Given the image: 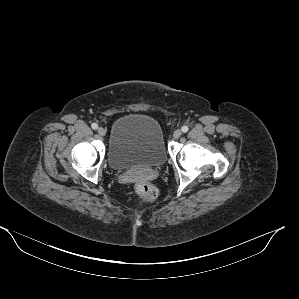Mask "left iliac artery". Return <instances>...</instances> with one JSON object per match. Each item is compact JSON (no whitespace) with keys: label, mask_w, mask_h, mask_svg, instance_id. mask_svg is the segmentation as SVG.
<instances>
[{"label":"left iliac artery","mask_w":299,"mask_h":299,"mask_svg":"<svg viewBox=\"0 0 299 299\" xmlns=\"http://www.w3.org/2000/svg\"><path fill=\"white\" fill-rule=\"evenodd\" d=\"M181 130H182V132L186 133V132H188L189 128H188V126H183L181 128Z\"/></svg>","instance_id":"44dca946"}]
</instances>
